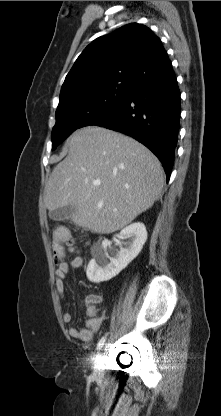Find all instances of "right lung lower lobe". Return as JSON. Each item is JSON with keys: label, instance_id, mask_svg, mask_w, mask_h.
<instances>
[{"label": "right lung lower lobe", "instance_id": "98d812e1", "mask_svg": "<svg viewBox=\"0 0 221 416\" xmlns=\"http://www.w3.org/2000/svg\"><path fill=\"white\" fill-rule=\"evenodd\" d=\"M180 99L171 69L165 79L132 90L109 117L92 125L125 133L144 144L162 162L168 181L178 141Z\"/></svg>", "mask_w": 221, "mask_h": 416}]
</instances>
